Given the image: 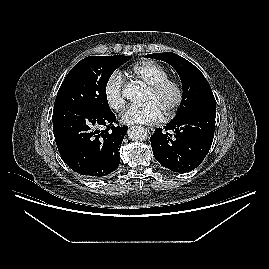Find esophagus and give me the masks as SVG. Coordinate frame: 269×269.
Masks as SVG:
<instances>
[{"label": "esophagus", "mask_w": 269, "mask_h": 269, "mask_svg": "<svg viewBox=\"0 0 269 269\" xmlns=\"http://www.w3.org/2000/svg\"><path fill=\"white\" fill-rule=\"evenodd\" d=\"M145 129L149 134H153L155 131L154 128H152V127H146Z\"/></svg>", "instance_id": "34e87169"}]
</instances>
